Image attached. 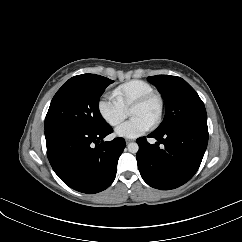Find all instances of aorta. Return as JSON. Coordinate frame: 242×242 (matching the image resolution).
<instances>
[{
    "mask_svg": "<svg viewBox=\"0 0 242 242\" xmlns=\"http://www.w3.org/2000/svg\"><path fill=\"white\" fill-rule=\"evenodd\" d=\"M138 150H139V146L136 142H131V143L128 144V151L130 153H133V154L137 153Z\"/></svg>",
    "mask_w": 242,
    "mask_h": 242,
    "instance_id": "762f6f07",
    "label": "aorta"
}]
</instances>
